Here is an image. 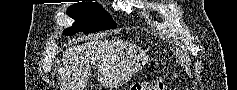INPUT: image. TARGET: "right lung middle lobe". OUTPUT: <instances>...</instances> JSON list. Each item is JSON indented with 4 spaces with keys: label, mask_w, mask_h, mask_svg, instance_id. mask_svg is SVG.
Masks as SVG:
<instances>
[{
    "label": "right lung middle lobe",
    "mask_w": 237,
    "mask_h": 90,
    "mask_svg": "<svg viewBox=\"0 0 237 90\" xmlns=\"http://www.w3.org/2000/svg\"><path fill=\"white\" fill-rule=\"evenodd\" d=\"M67 15L76 21L71 28L64 30L63 34L66 35H73L76 30L77 32L93 33L117 27L109 13L94 2L75 3L67 9Z\"/></svg>",
    "instance_id": "1"
}]
</instances>
